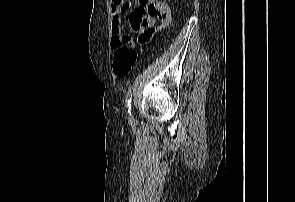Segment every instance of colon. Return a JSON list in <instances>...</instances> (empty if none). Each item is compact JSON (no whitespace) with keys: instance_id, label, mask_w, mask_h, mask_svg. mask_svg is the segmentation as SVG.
I'll use <instances>...</instances> for the list:
<instances>
[{"instance_id":"1","label":"colon","mask_w":295,"mask_h":202,"mask_svg":"<svg viewBox=\"0 0 295 202\" xmlns=\"http://www.w3.org/2000/svg\"><path fill=\"white\" fill-rule=\"evenodd\" d=\"M128 43L129 38H123V44L114 53L113 72L120 78H124L130 73L136 61V53L131 47L126 45Z\"/></svg>"}]
</instances>
